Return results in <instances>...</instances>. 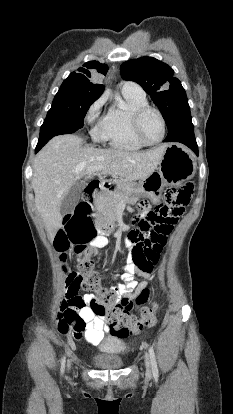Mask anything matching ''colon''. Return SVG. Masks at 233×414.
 Returning a JSON list of instances; mask_svg holds the SVG:
<instances>
[{
	"label": "colon",
	"instance_id": "obj_1",
	"mask_svg": "<svg viewBox=\"0 0 233 414\" xmlns=\"http://www.w3.org/2000/svg\"><path fill=\"white\" fill-rule=\"evenodd\" d=\"M193 192L191 183L176 192L170 189L167 193L168 205L159 207L146 214L137 215L133 222L138 228L129 232L127 243L131 245L130 256L134 264L144 271H152L159 259V252L166 243V237L175 221L174 213L186 206ZM96 237L89 206L80 204L75 213L66 217L64 228L55 239V247L64 259V252L70 244L81 250L83 255L78 261V270L84 273V290L92 292V299L103 303L107 310L104 321L110 332L120 337L136 333L144 326H153L156 322L157 305L144 306L150 297V289H143L135 299L120 297L117 292L101 284L100 275L94 270L93 256L96 253L92 241ZM137 307L140 315L133 313Z\"/></svg>",
	"mask_w": 233,
	"mask_h": 414
}]
</instances>
